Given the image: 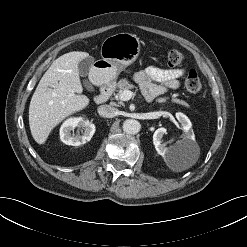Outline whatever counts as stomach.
<instances>
[{
	"label": "stomach",
	"mask_w": 247,
	"mask_h": 247,
	"mask_svg": "<svg viewBox=\"0 0 247 247\" xmlns=\"http://www.w3.org/2000/svg\"><path fill=\"white\" fill-rule=\"evenodd\" d=\"M140 48V40L135 34L118 33L107 37L101 45L102 59L93 67L95 78L101 83L115 80L137 59Z\"/></svg>",
	"instance_id": "obj_1"
}]
</instances>
